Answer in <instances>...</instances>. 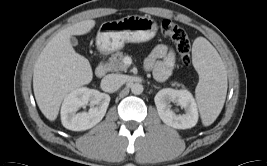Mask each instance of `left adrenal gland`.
<instances>
[{
    "instance_id": "a2214340",
    "label": "left adrenal gland",
    "mask_w": 267,
    "mask_h": 166,
    "mask_svg": "<svg viewBox=\"0 0 267 166\" xmlns=\"http://www.w3.org/2000/svg\"><path fill=\"white\" fill-rule=\"evenodd\" d=\"M154 87L157 88V89H159V87H157V86H155V85H154Z\"/></svg>"
}]
</instances>
